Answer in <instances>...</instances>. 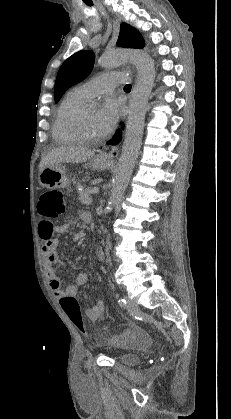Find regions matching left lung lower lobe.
<instances>
[{"label":"left lung lower lobe","mask_w":231,"mask_h":419,"mask_svg":"<svg viewBox=\"0 0 231 419\" xmlns=\"http://www.w3.org/2000/svg\"><path fill=\"white\" fill-rule=\"evenodd\" d=\"M122 127H123V126H122ZM120 138H121V130H120V129H118V130H117V132L115 133V135H114L113 139H112V140H110V141L108 142V144L115 145V144H117V143L120 141Z\"/></svg>","instance_id":"0a47b994"}]
</instances>
